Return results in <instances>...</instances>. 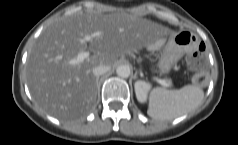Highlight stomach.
I'll list each match as a JSON object with an SVG mask.
<instances>
[{
    "instance_id": "0dacf381",
    "label": "stomach",
    "mask_w": 238,
    "mask_h": 145,
    "mask_svg": "<svg viewBox=\"0 0 238 145\" xmlns=\"http://www.w3.org/2000/svg\"><path fill=\"white\" fill-rule=\"evenodd\" d=\"M195 43L196 38L191 32H180L179 34L171 35L165 49L158 58L157 66L160 73H168L181 55L193 49Z\"/></svg>"
}]
</instances>
